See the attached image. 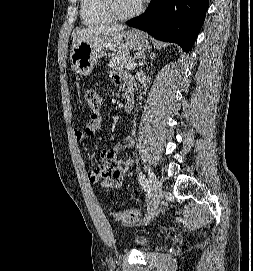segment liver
<instances>
[{"label": "liver", "mask_w": 253, "mask_h": 271, "mask_svg": "<svg viewBox=\"0 0 253 271\" xmlns=\"http://www.w3.org/2000/svg\"><path fill=\"white\" fill-rule=\"evenodd\" d=\"M125 26L123 25H112V26H92L85 29L78 30L73 35V47L75 44L80 41L81 39H85L89 36L111 33V32H119L123 31Z\"/></svg>", "instance_id": "1"}]
</instances>
